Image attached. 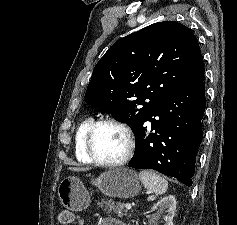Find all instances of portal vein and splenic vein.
<instances>
[{"label": "portal vein and splenic vein", "mask_w": 237, "mask_h": 225, "mask_svg": "<svg viewBox=\"0 0 237 225\" xmlns=\"http://www.w3.org/2000/svg\"><path fill=\"white\" fill-rule=\"evenodd\" d=\"M125 207H126L127 210L131 209V205L130 204H126Z\"/></svg>", "instance_id": "portal-vein-and-splenic-vein-1"}]
</instances>
